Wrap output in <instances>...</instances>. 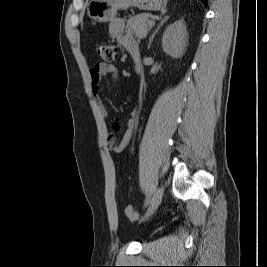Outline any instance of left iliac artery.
I'll use <instances>...</instances> for the list:
<instances>
[{
	"label": "left iliac artery",
	"mask_w": 267,
	"mask_h": 267,
	"mask_svg": "<svg viewBox=\"0 0 267 267\" xmlns=\"http://www.w3.org/2000/svg\"><path fill=\"white\" fill-rule=\"evenodd\" d=\"M151 201V192H148L145 199V206H147Z\"/></svg>",
	"instance_id": "left-iliac-artery-1"
}]
</instances>
